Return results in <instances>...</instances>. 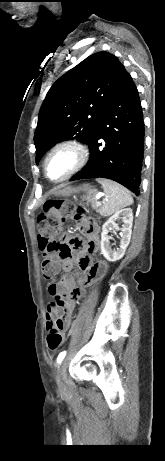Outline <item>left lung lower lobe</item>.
Returning <instances> with one entry per match:
<instances>
[{
  "instance_id": "obj_1",
  "label": "left lung lower lobe",
  "mask_w": 165,
  "mask_h": 461,
  "mask_svg": "<svg viewBox=\"0 0 165 461\" xmlns=\"http://www.w3.org/2000/svg\"><path fill=\"white\" fill-rule=\"evenodd\" d=\"M90 159L70 181L114 180L139 194L144 122L138 90L127 73L89 141Z\"/></svg>"
}]
</instances>
